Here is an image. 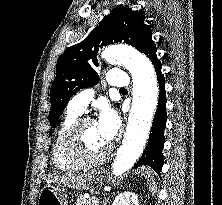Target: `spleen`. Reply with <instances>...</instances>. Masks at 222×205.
<instances>
[{"instance_id": "obj_1", "label": "spleen", "mask_w": 222, "mask_h": 205, "mask_svg": "<svg viewBox=\"0 0 222 205\" xmlns=\"http://www.w3.org/2000/svg\"><path fill=\"white\" fill-rule=\"evenodd\" d=\"M139 172L141 173L142 176L148 178V180L150 179L149 189L152 192H155L156 184H155V180L153 178L154 174L152 173V170L147 166H142V167H140Z\"/></svg>"}]
</instances>
